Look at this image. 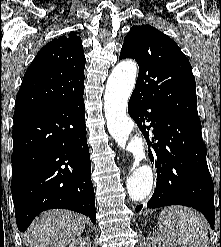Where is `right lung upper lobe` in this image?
<instances>
[{
  "label": "right lung upper lobe",
  "instance_id": "1",
  "mask_svg": "<svg viewBox=\"0 0 221 247\" xmlns=\"http://www.w3.org/2000/svg\"><path fill=\"white\" fill-rule=\"evenodd\" d=\"M85 62L82 40L75 32L47 43L24 75L14 117L59 107L83 96Z\"/></svg>",
  "mask_w": 221,
  "mask_h": 247
}]
</instances>
